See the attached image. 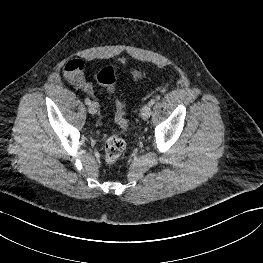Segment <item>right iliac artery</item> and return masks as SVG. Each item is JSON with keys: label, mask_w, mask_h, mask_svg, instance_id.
I'll return each mask as SVG.
<instances>
[{"label": "right iliac artery", "mask_w": 263, "mask_h": 263, "mask_svg": "<svg viewBox=\"0 0 263 263\" xmlns=\"http://www.w3.org/2000/svg\"><path fill=\"white\" fill-rule=\"evenodd\" d=\"M85 103H86L87 105H89V104L91 103L90 99H89V98H85Z\"/></svg>", "instance_id": "right-iliac-artery-1"}]
</instances>
